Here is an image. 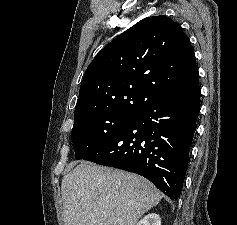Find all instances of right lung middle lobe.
Instances as JSON below:
<instances>
[{
    "instance_id": "1",
    "label": "right lung middle lobe",
    "mask_w": 237,
    "mask_h": 225,
    "mask_svg": "<svg viewBox=\"0 0 237 225\" xmlns=\"http://www.w3.org/2000/svg\"><path fill=\"white\" fill-rule=\"evenodd\" d=\"M135 115L107 113L75 121L71 132L75 158L82 159L107 143L123 130Z\"/></svg>"
}]
</instances>
